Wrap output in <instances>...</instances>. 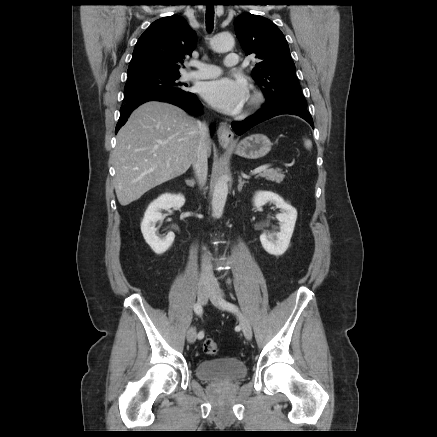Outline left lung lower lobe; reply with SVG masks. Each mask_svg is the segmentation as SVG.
<instances>
[{"instance_id":"obj_1","label":"left lung lower lobe","mask_w":437,"mask_h":437,"mask_svg":"<svg viewBox=\"0 0 437 437\" xmlns=\"http://www.w3.org/2000/svg\"><path fill=\"white\" fill-rule=\"evenodd\" d=\"M282 114L297 115L306 120L312 126V128H314L312 117L307 111L306 107H299L289 104L262 107L246 120L233 122L232 128L236 134L241 135L258 123Z\"/></svg>"}]
</instances>
